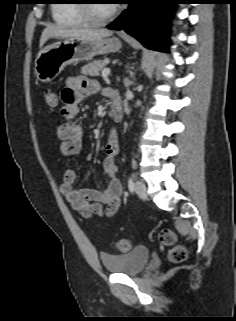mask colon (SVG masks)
Here are the masks:
<instances>
[{"instance_id": "obj_1", "label": "colon", "mask_w": 236, "mask_h": 321, "mask_svg": "<svg viewBox=\"0 0 236 321\" xmlns=\"http://www.w3.org/2000/svg\"><path fill=\"white\" fill-rule=\"evenodd\" d=\"M44 104L48 111H54L58 107V96L53 91L44 93ZM161 244L171 247L168 252L170 261L178 263L185 260L187 256L186 248L178 243L176 234L171 229H163L158 235ZM114 246L120 253H127L132 248V242L129 239H118Z\"/></svg>"}]
</instances>
